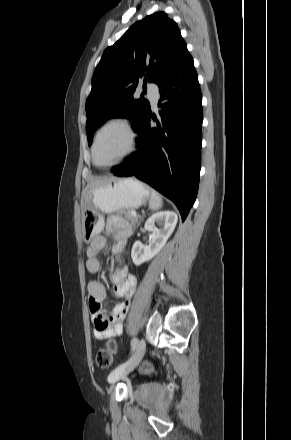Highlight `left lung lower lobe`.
Segmentation results:
<instances>
[{"label":"left lung lower lobe","mask_w":291,"mask_h":440,"mask_svg":"<svg viewBox=\"0 0 291 440\" xmlns=\"http://www.w3.org/2000/svg\"><path fill=\"white\" fill-rule=\"evenodd\" d=\"M158 86L162 128L159 122L151 127L149 110L137 132L138 150L111 172L154 187L176 204L184 221L198 191L202 141V96L189 52Z\"/></svg>","instance_id":"left-lung-lower-lobe-1"}]
</instances>
